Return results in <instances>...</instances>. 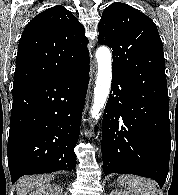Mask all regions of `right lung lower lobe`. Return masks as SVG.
I'll return each mask as SVG.
<instances>
[{
	"mask_svg": "<svg viewBox=\"0 0 178 195\" xmlns=\"http://www.w3.org/2000/svg\"><path fill=\"white\" fill-rule=\"evenodd\" d=\"M89 82V63L76 72L13 87L8 166L14 183L25 174L71 171Z\"/></svg>",
	"mask_w": 178,
	"mask_h": 195,
	"instance_id": "1",
	"label": "right lung lower lobe"
}]
</instances>
